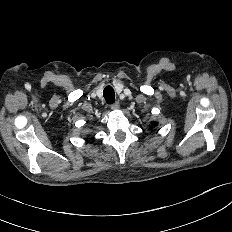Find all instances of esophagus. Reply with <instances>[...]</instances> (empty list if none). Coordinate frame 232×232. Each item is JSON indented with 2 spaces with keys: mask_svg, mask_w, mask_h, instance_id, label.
<instances>
[{
  "mask_svg": "<svg viewBox=\"0 0 232 232\" xmlns=\"http://www.w3.org/2000/svg\"><path fill=\"white\" fill-rule=\"evenodd\" d=\"M119 108H120L119 102H114L113 104H111L112 110H118Z\"/></svg>",
  "mask_w": 232,
  "mask_h": 232,
  "instance_id": "obj_1",
  "label": "esophagus"
}]
</instances>
